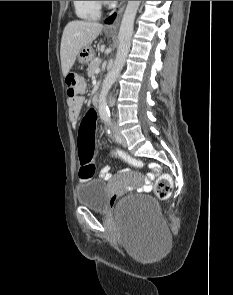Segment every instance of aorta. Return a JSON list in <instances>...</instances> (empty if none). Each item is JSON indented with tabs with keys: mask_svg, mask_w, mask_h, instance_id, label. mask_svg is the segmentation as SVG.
<instances>
[{
	"mask_svg": "<svg viewBox=\"0 0 233 295\" xmlns=\"http://www.w3.org/2000/svg\"><path fill=\"white\" fill-rule=\"evenodd\" d=\"M140 3L141 1L127 2V6L123 14L121 25L119 28V34H118L119 46L117 49L116 58H115L113 67L108 72L104 80L103 87L99 96L98 109L101 116L109 115L107 94L111 86L113 85V83L116 81L117 77L119 76L125 64V61L131 46V38L133 34L134 21H135V17H136L138 8L140 6Z\"/></svg>",
	"mask_w": 233,
	"mask_h": 295,
	"instance_id": "762f6f07",
	"label": "aorta"
}]
</instances>
